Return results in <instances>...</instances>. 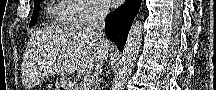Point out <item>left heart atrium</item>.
<instances>
[{"instance_id":"left-heart-atrium-1","label":"left heart atrium","mask_w":216,"mask_h":90,"mask_svg":"<svg viewBox=\"0 0 216 90\" xmlns=\"http://www.w3.org/2000/svg\"><path fill=\"white\" fill-rule=\"evenodd\" d=\"M104 7H120L121 0H100Z\"/></svg>"}]
</instances>
